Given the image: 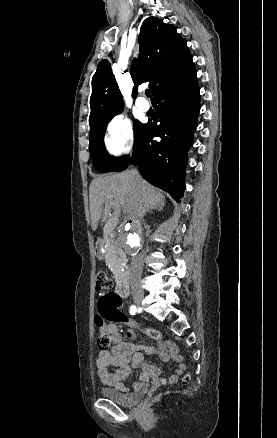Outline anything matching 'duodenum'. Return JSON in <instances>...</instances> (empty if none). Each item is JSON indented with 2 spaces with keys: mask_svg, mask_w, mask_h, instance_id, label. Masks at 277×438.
Returning a JSON list of instances; mask_svg holds the SVG:
<instances>
[{
  "mask_svg": "<svg viewBox=\"0 0 277 438\" xmlns=\"http://www.w3.org/2000/svg\"><path fill=\"white\" fill-rule=\"evenodd\" d=\"M104 248V243L102 241H97L94 246V251L96 257H102V250ZM129 292V280L127 274H123L119 277L116 285V293L122 297L127 296Z\"/></svg>",
  "mask_w": 277,
  "mask_h": 438,
  "instance_id": "1",
  "label": "duodenum"
}]
</instances>
